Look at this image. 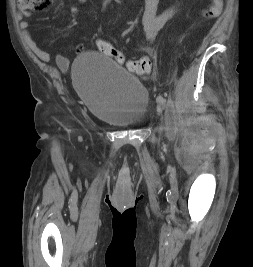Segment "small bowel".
Here are the masks:
<instances>
[{"label":"small bowel","mask_w":253,"mask_h":267,"mask_svg":"<svg viewBox=\"0 0 253 267\" xmlns=\"http://www.w3.org/2000/svg\"><path fill=\"white\" fill-rule=\"evenodd\" d=\"M78 4L73 5L70 9L72 14H77L80 11V4H84L87 0H74ZM160 0H146L145 10L142 16V24L148 39H153L160 29L169 21L171 20L178 12V7H172L164 12L158 14V5ZM20 28L23 33L24 40L28 47L42 60L49 61L50 56L49 54L38 46V44L34 41L30 34V24L27 21H22L20 23ZM84 51L83 45L77 46V52L81 53ZM57 62L61 66H66L67 61L62 56H57Z\"/></svg>","instance_id":"1"}]
</instances>
